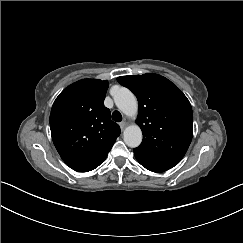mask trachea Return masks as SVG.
Returning <instances> with one entry per match:
<instances>
[{
	"label": "trachea",
	"instance_id": "obj_1",
	"mask_svg": "<svg viewBox=\"0 0 243 243\" xmlns=\"http://www.w3.org/2000/svg\"><path fill=\"white\" fill-rule=\"evenodd\" d=\"M112 119L116 122H120L122 120V115L118 110H114L112 113Z\"/></svg>",
	"mask_w": 243,
	"mask_h": 243
}]
</instances>
